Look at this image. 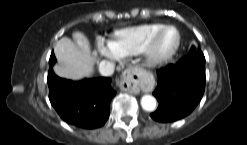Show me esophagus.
<instances>
[{
    "mask_svg": "<svg viewBox=\"0 0 247 145\" xmlns=\"http://www.w3.org/2000/svg\"><path fill=\"white\" fill-rule=\"evenodd\" d=\"M139 82L140 75L131 69H127L122 74L119 87L124 92L137 95L140 92Z\"/></svg>",
    "mask_w": 247,
    "mask_h": 145,
    "instance_id": "1",
    "label": "esophagus"
}]
</instances>
